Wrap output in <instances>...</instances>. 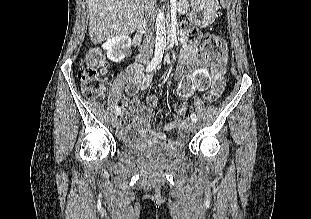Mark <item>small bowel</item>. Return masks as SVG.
<instances>
[{
  "mask_svg": "<svg viewBox=\"0 0 311 219\" xmlns=\"http://www.w3.org/2000/svg\"><path fill=\"white\" fill-rule=\"evenodd\" d=\"M196 62L197 42L184 32L181 36V51L176 79H180L183 83L191 79L192 75L186 74L187 68L194 66ZM127 72L129 83L126 87L127 96L124 99V105L128 113L122 117L119 129L120 136L125 140L142 137L145 141L157 142L166 140V132L175 131L177 132L176 142H183L187 138L186 108L181 107L174 111L169 120L162 124V130L152 129L150 126L152 109L159 104V98L155 95H147L142 105L135 97L139 90L149 87L151 75L143 73L141 66L138 64L132 65ZM223 74L224 72L213 70L212 84L204 94L208 101L216 100L221 94L224 88Z\"/></svg>",
  "mask_w": 311,
  "mask_h": 219,
  "instance_id": "1",
  "label": "small bowel"
}]
</instances>
